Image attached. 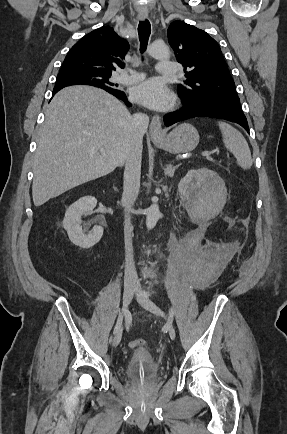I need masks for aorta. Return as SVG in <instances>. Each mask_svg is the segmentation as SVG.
I'll list each match as a JSON object with an SVG mask.
<instances>
[{
    "label": "aorta",
    "instance_id": "aorta-1",
    "mask_svg": "<svg viewBox=\"0 0 287 434\" xmlns=\"http://www.w3.org/2000/svg\"><path fill=\"white\" fill-rule=\"evenodd\" d=\"M148 54L154 58L167 59L170 55L169 48L164 43L154 42L148 48ZM160 218V210L157 201L147 209L146 227L153 229Z\"/></svg>",
    "mask_w": 287,
    "mask_h": 434
}]
</instances>
